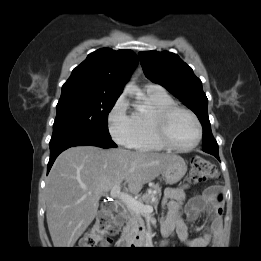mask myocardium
Listing matches in <instances>:
<instances>
[{"label":"myocardium","mask_w":261,"mask_h":261,"mask_svg":"<svg viewBox=\"0 0 261 261\" xmlns=\"http://www.w3.org/2000/svg\"><path fill=\"white\" fill-rule=\"evenodd\" d=\"M182 111L187 113L195 122L197 128V137L196 140L189 146H178L172 142L168 133V123L170 118L175 112ZM152 124L155 136L159 143L169 150L177 151V152H187L196 148L201 142L203 136V129L201 122L198 116L189 108L172 104L156 113L153 114Z\"/></svg>","instance_id":"f54148a6"}]
</instances>
